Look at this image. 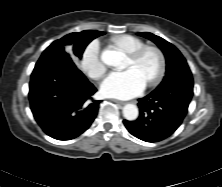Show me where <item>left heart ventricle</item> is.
<instances>
[{
  "label": "left heart ventricle",
  "mask_w": 222,
  "mask_h": 187,
  "mask_svg": "<svg viewBox=\"0 0 222 187\" xmlns=\"http://www.w3.org/2000/svg\"><path fill=\"white\" fill-rule=\"evenodd\" d=\"M159 58L156 53L149 51L138 62H132L127 58L124 69H134L142 80L148 83L158 72Z\"/></svg>",
  "instance_id": "1"
}]
</instances>
